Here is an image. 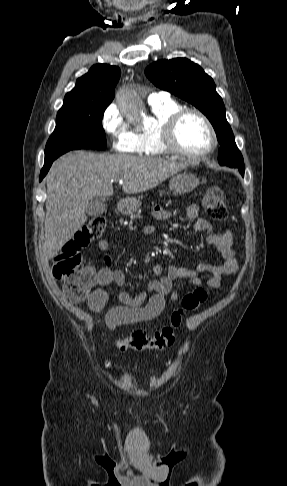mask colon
I'll return each instance as SVG.
<instances>
[{
  "instance_id": "5ec220e1",
  "label": "colon",
  "mask_w": 287,
  "mask_h": 486,
  "mask_svg": "<svg viewBox=\"0 0 287 486\" xmlns=\"http://www.w3.org/2000/svg\"><path fill=\"white\" fill-rule=\"evenodd\" d=\"M203 205L211 218L219 222L226 221L228 212L223 192L218 186L206 188ZM105 228L106 220L104 217L95 216L91 218L61 248L53 260V275L63 283L66 296L73 302L86 301L96 283L94 269L83 264L80 252L91 242L101 237ZM208 296L209 293L205 288H197L188 293L183 297L180 307L172 312L169 325L154 333L135 330L116 342L118 350L121 352L127 350H163L172 346L185 315L199 309L207 301Z\"/></svg>"
}]
</instances>
